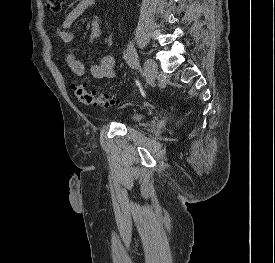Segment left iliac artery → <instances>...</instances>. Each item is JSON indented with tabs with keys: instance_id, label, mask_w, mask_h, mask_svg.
I'll use <instances>...</instances> for the list:
<instances>
[{
	"instance_id": "left-iliac-artery-1",
	"label": "left iliac artery",
	"mask_w": 275,
	"mask_h": 263,
	"mask_svg": "<svg viewBox=\"0 0 275 263\" xmlns=\"http://www.w3.org/2000/svg\"><path fill=\"white\" fill-rule=\"evenodd\" d=\"M127 63L131 68H136L139 63L137 51L132 42H130L127 46L126 53Z\"/></svg>"
}]
</instances>
